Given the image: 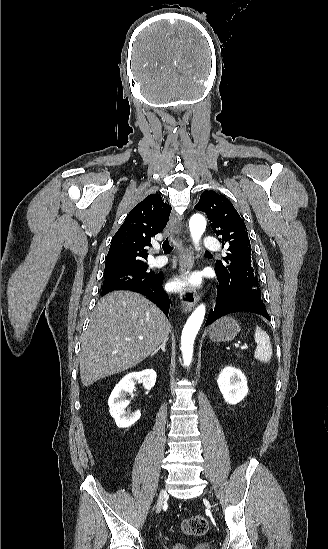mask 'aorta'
<instances>
[{
  "mask_svg": "<svg viewBox=\"0 0 328 549\" xmlns=\"http://www.w3.org/2000/svg\"><path fill=\"white\" fill-rule=\"evenodd\" d=\"M191 237L196 248L199 240L206 229L205 217L201 214H194L189 221ZM206 308L204 304L199 305L188 318L181 335V351L185 366H189L193 357V345L196 335L203 323Z\"/></svg>",
  "mask_w": 328,
  "mask_h": 549,
  "instance_id": "762f6f07",
  "label": "aorta"
}]
</instances>
